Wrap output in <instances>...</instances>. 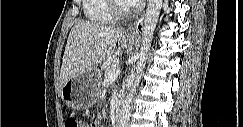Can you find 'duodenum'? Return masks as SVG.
<instances>
[{
    "label": "duodenum",
    "mask_w": 243,
    "mask_h": 127,
    "mask_svg": "<svg viewBox=\"0 0 243 127\" xmlns=\"http://www.w3.org/2000/svg\"><path fill=\"white\" fill-rule=\"evenodd\" d=\"M121 109H122V103L119 102L115 106V117H116V121H118V119H119V115H120Z\"/></svg>",
    "instance_id": "obj_1"
}]
</instances>
